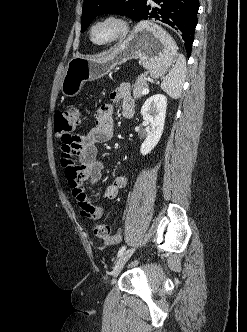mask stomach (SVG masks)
<instances>
[{
	"label": "stomach",
	"instance_id": "0dacf381",
	"mask_svg": "<svg viewBox=\"0 0 247 332\" xmlns=\"http://www.w3.org/2000/svg\"><path fill=\"white\" fill-rule=\"evenodd\" d=\"M176 55L171 36L159 25L142 21L108 53L95 58L73 57L66 66L61 91L66 97H75L87 81L99 79L131 59H140L151 77L160 78L173 65Z\"/></svg>",
	"mask_w": 247,
	"mask_h": 332
}]
</instances>
